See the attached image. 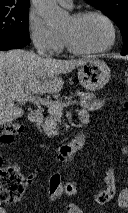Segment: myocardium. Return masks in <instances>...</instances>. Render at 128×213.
<instances>
[{
  "label": "myocardium",
  "instance_id": "1",
  "mask_svg": "<svg viewBox=\"0 0 128 213\" xmlns=\"http://www.w3.org/2000/svg\"><path fill=\"white\" fill-rule=\"evenodd\" d=\"M88 16H97V17L103 19L108 24L110 31H111V38H110L109 43L105 47L100 48V49L86 50V49L79 47L75 43L71 34H69L67 32H63L62 35H63L64 41H65L66 47L68 48L69 51H71L72 53L78 54V55L101 54V53H104V52L110 50L114 46V44L117 40V28H116L114 21L107 14H105L101 11H98V10L79 11V12L74 13L71 16V19L74 22H77Z\"/></svg>",
  "mask_w": 128,
  "mask_h": 213
}]
</instances>
